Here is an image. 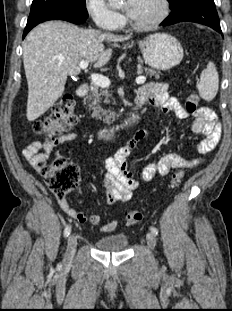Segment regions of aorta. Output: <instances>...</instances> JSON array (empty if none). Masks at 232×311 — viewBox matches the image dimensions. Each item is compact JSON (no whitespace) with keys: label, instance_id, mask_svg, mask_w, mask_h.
<instances>
[{"label":"aorta","instance_id":"aorta-1","mask_svg":"<svg viewBox=\"0 0 232 311\" xmlns=\"http://www.w3.org/2000/svg\"><path fill=\"white\" fill-rule=\"evenodd\" d=\"M120 1H121V0H108L109 4H110L111 6H115V5L120 4Z\"/></svg>","mask_w":232,"mask_h":311}]
</instances>
